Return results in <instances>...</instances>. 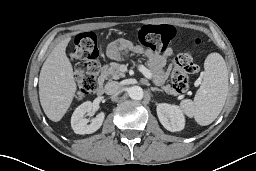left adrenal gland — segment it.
I'll use <instances>...</instances> for the list:
<instances>
[{
	"instance_id": "1",
	"label": "left adrenal gland",
	"mask_w": 256,
	"mask_h": 171,
	"mask_svg": "<svg viewBox=\"0 0 256 171\" xmlns=\"http://www.w3.org/2000/svg\"><path fill=\"white\" fill-rule=\"evenodd\" d=\"M151 90H152L153 92H155V91L162 92V90H161V89H159V88H155V87H151Z\"/></svg>"
}]
</instances>
